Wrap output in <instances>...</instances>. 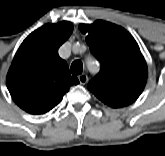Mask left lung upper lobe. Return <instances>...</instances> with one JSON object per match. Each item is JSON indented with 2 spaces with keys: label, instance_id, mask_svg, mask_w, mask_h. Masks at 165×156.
I'll use <instances>...</instances> for the list:
<instances>
[{
  "label": "left lung upper lobe",
  "instance_id": "left-lung-upper-lobe-1",
  "mask_svg": "<svg viewBox=\"0 0 165 156\" xmlns=\"http://www.w3.org/2000/svg\"><path fill=\"white\" fill-rule=\"evenodd\" d=\"M79 29L86 34L92 54L101 63L88 89L112 108L132 104L147 79V65L135 39L124 28L102 20L80 24Z\"/></svg>",
  "mask_w": 165,
  "mask_h": 156
}]
</instances>
